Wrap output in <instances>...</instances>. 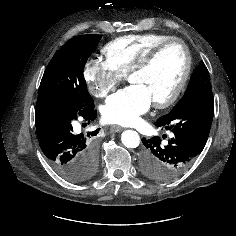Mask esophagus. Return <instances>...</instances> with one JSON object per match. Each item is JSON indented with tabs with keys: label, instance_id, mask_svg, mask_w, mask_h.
Segmentation results:
<instances>
[{
	"label": "esophagus",
	"instance_id": "1",
	"mask_svg": "<svg viewBox=\"0 0 236 236\" xmlns=\"http://www.w3.org/2000/svg\"><path fill=\"white\" fill-rule=\"evenodd\" d=\"M123 130V127H121V126H118V125H112L111 127H110V131L111 132H121Z\"/></svg>",
	"mask_w": 236,
	"mask_h": 236
}]
</instances>
